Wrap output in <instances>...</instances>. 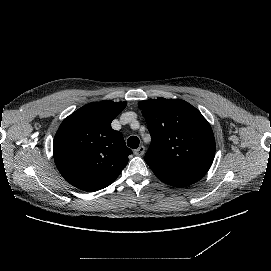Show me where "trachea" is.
<instances>
[{
	"instance_id": "trachea-1",
	"label": "trachea",
	"mask_w": 271,
	"mask_h": 271,
	"mask_svg": "<svg viewBox=\"0 0 271 271\" xmlns=\"http://www.w3.org/2000/svg\"><path fill=\"white\" fill-rule=\"evenodd\" d=\"M140 140L138 137L136 136H131L128 140H127V145L130 148H137L139 146Z\"/></svg>"
}]
</instances>
